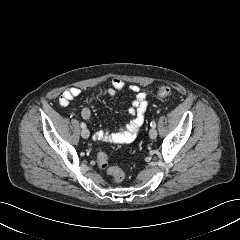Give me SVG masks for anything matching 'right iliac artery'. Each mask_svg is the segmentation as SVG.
<instances>
[{"instance_id":"obj_1","label":"right iliac artery","mask_w":240,"mask_h":240,"mask_svg":"<svg viewBox=\"0 0 240 240\" xmlns=\"http://www.w3.org/2000/svg\"><path fill=\"white\" fill-rule=\"evenodd\" d=\"M82 128H86V124L84 122L81 123Z\"/></svg>"}]
</instances>
